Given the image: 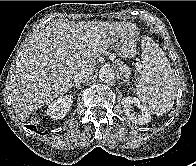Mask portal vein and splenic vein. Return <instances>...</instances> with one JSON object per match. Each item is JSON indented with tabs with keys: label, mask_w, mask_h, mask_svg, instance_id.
I'll return each mask as SVG.
<instances>
[{
	"label": "portal vein and splenic vein",
	"mask_w": 196,
	"mask_h": 166,
	"mask_svg": "<svg viewBox=\"0 0 196 166\" xmlns=\"http://www.w3.org/2000/svg\"><path fill=\"white\" fill-rule=\"evenodd\" d=\"M81 49H82V46L79 47V50H81ZM79 57H80V53H79V52L75 53L74 58L77 59V58H79ZM141 68H142V65H141V64H138V65H137V69L140 70Z\"/></svg>",
	"instance_id": "portal-vein-and-splenic-vein-1"
}]
</instances>
